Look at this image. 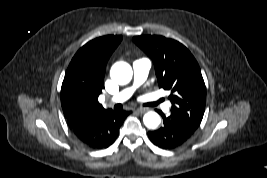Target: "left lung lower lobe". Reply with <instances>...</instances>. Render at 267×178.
<instances>
[{
	"instance_id": "left-lung-lower-lobe-1",
	"label": "left lung lower lobe",
	"mask_w": 267,
	"mask_h": 178,
	"mask_svg": "<svg viewBox=\"0 0 267 178\" xmlns=\"http://www.w3.org/2000/svg\"><path fill=\"white\" fill-rule=\"evenodd\" d=\"M163 117V127L158 130L148 132L151 142L162 149H173L185 143L195 130L188 127L181 119L170 115Z\"/></svg>"
}]
</instances>
